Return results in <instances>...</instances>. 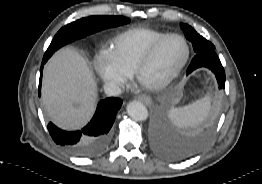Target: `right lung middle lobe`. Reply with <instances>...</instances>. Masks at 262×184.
I'll use <instances>...</instances> for the list:
<instances>
[{
    "label": "right lung middle lobe",
    "instance_id": "obj_1",
    "mask_svg": "<svg viewBox=\"0 0 262 184\" xmlns=\"http://www.w3.org/2000/svg\"><path fill=\"white\" fill-rule=\"evenodd\" d=\"M129 22L130 19L127 17L105 15L85 17L72 22L57 32L44 54L43 61L46 62L56 50L76 39L106 28L128 24Z\"/></svg>",
    "mask_w": 262,
    "mask_h": 184
}]
</instances>
